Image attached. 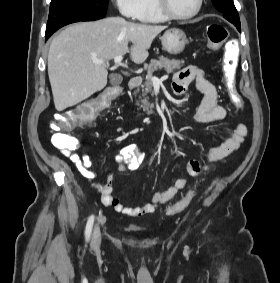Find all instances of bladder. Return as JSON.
I'll return each mask as SVG.
<instances>
[{
    "instance_id": "bladder-1",
    "label": "bladder",
    "mask_w": 280,
    "mask_h": 283,
    "mask_svg": "<svg viewBox=\"0 0 280 283\" xmlns=\"http://www.w3.org/2000/svg\"><path fill=\"white\" fill-rule=\"evenodd\" d=\"M131 229H134V230H139V227H136V226H133V227H131Z\"/></svg>"
}]
</instances>
